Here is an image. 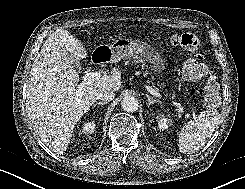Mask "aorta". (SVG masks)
<instances>
[{
  "label": "aorta",
  "instance_id": "obj_1",
  "mask_svg": "<svg viewBox=\"0 0 245 189\" xmlns=\"http://www.w3.org/2000/svg\"><path fill=\"white\" fill-rule=\"evenodd\" d=\"M121 106L127 112H134L138 109L139 102L134 96L128 95L122 99Z\"/></svg>",
  "mask_w": 245,
  "mask_h": 189
}]
</instances>
